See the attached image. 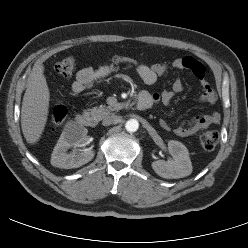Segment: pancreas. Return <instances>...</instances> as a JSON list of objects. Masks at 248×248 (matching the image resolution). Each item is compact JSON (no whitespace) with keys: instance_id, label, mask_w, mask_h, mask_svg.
<instances>
[{"instance_id":"obj_1","label":"pancreas","mask_w":248,"mask_h":248,"mask_svg":"<svg viewBox=\"0 0 248 248\" xmlns=\"http://www.w3.org/2000/svg\"><path fill=\"white\" fill-rule=\"evenodd\" d=\"M124 106H125L124 103H117L114 106H108V107L101 105L99 107H94L90 109L89 113L93 118L100 120L105 116L111 114L113 111H119L120 109L124 108Z\"/></svg>"}]
</instances>
